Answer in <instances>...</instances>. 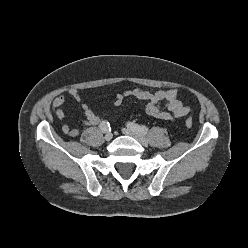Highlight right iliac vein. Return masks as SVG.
Listing matches in <instances>:
<instances>
[{"mask_svg": "<svg viewBox=\"0 0 248 248\" xmlns=\"http://www.w3.org/2000/svg\"><path fill=\"white\" fill-rule=\"evenodd\" d=\"M112 138H113V134H112L111 132H108V133L105 135V140H107V141H110Z\"/></svg>", "mask_w": 248, "mask_h": 248, "instance_id": "63e3f726", "label": "right iliac vein"}]
</instances>
